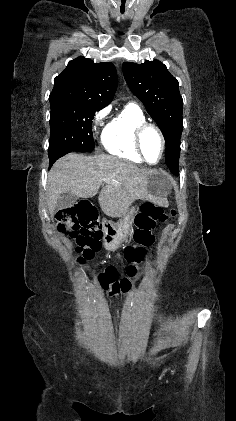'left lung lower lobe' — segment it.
Wrapping results in <instances>:
<instances>
[{
    "mask_svg": "<svg viewBox=\"0 0 236 421\" xmlns=\"http://www.w3.org/2000/svg\"><path fill=\"white\" fill-rule=\"evenodd\" d=\"M168 167H169L170 171H171L174 175H176V176H178V175H179V168H178V165H170V166H168Z\"/></svg>",
    "mask_w": 236,
    "mask_h": 421,
    "instance_id": "1",
    "label": "left lung lower lobe"
}]
</instances>
